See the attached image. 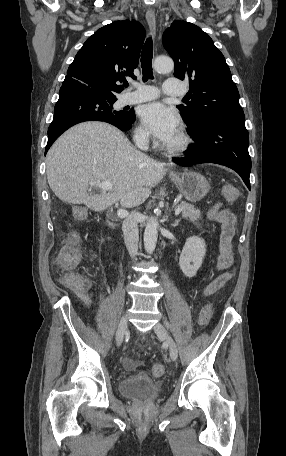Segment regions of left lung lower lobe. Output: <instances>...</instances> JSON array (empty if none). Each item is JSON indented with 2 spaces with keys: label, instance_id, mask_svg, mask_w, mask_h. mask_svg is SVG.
Instances as JSON below:
<instances>
[{
  "label": "left lung lower lobe",
  "instance_id": "1",
  "mask_svg": "<svg viewBox=\"0 0 286 456\" xmlns=\"http://www.w3.org/2000/svg\"><path fill=\"white\" fill-rule=\"evenodd\" d=\"M188 134L195 144L187 156L172 160L183 166L216 163L235 170L250 190L251 159L248 153L249 135L245 123L228 119L210 118Z\"/></svg>",
  "mask_w": 286,
  "mask_h": 456
}]
</instances>
